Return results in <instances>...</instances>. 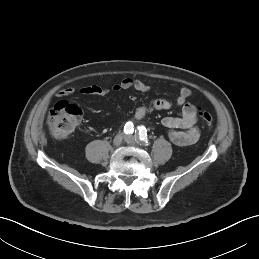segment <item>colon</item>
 Wrapping results in <instances>:
<instances>
[{
	"label": "colon",
	"instance_id": "5ec220e1",
	"mask_svg": "<svg viewBox=\"0 0 259 259\" xmlns=\"http://www.w3.org/2000/svg\"><path fill=\"white\" fill-rule=\"evenodd\" d=\"M82 115L81 108L70 102L58 103L49 113L47 123L51 135L58 140L67 139L77 126ZM199 115L204 126L211 130L214 127V119L205 110L200 109Z\"/></svg>",
	"mask_w": 259,
	"mask_h": 259
}]
</instances>
